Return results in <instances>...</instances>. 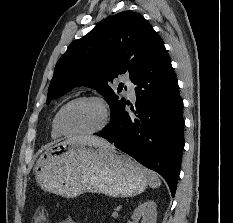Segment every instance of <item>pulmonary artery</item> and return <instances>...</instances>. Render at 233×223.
I'll return each instance as SVG.
<instances>
[{"label": "pulmonary artery", "mask_w": 233, "mask_h": 223, "mask_svg": "<svg viewBox=\"0 0 233 223\" xmlns=\"http://www.w3.org/2000/svg\"><path fill=\"white\" fill-rule=\"evenodd\" d=\"M122 82L127 87V93L130 97H135V84L130 80V74H121Z\"/></svg>", "instance_id": "obj_1"}]
</instances>
